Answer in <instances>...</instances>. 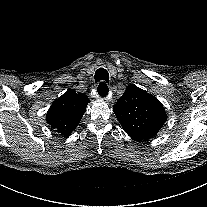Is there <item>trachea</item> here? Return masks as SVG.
<instances>
[{
    "label": "trachea",
    "mask_w": 207,
    "mask_h": 207,
    "mask_svg": "<svg viewBox=\"0 0 207 207\" xmlns=\"http://www.w3.org/2000/svg\"><path fill=\"white\" fill-rule=\"evenodd\" d=\"M95 81L99 83L98 86V94L102 97L107 96L108 94V86L105 82H109V74L104 68H99L95 73Z\"/></svg>",
    "instance_id": "1"
}]
</instances>
